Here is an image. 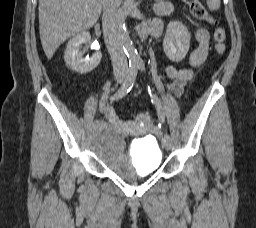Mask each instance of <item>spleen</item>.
<instances>
[{"instance_id":"obj_1","label":"spleen","mask_w":256,"mask_h":228,"mask_svg":"<svg viewBox=\"0 0 256 228\" xmlns=\"http://www.w3.org/2000/svg\"><path fill=\"white\" fill-rule=\"evenodd\" d=\"M208 8L212 10H218L220 7V0H207Z\"/></svg>"}]
</instances>
